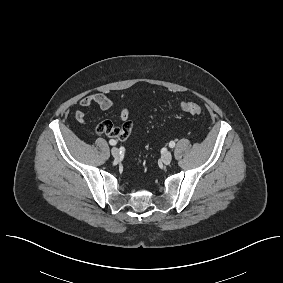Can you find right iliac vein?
I'll list each match as a JSON object with an SVG mask.
<instances>
[{"label": "right iliac vein", "mask_w": 283, "mask_h": 283, "mask_svg": "<svg viewBox=\"0 0 283 283\" xmlns=\"http://www.w3.org/2000/svg\"><path fill=\"white\" fill-rule=\"evenodd\" d=\"M111 154H112V156H113L114 158H119V156H120L119 149L116 148V147H113V148L111 149Z\"/></svg>", "instance_id": "63e3f726"}]
</instances>
